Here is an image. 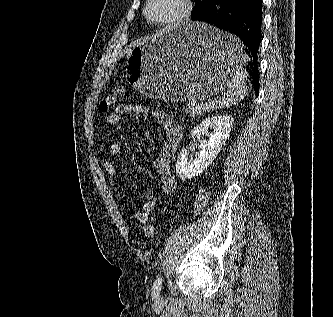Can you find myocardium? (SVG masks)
I'll return each instance as SVG.
<instances>
[{"instance_id":"f54148a6","label":"myocardium","mask_w":333,"mask_h":317,"mask_svg":"<svg viewBox=\"0 0 333 317\" xmlns=\"http://www.w3.org/2000/svg\"><path fill=\"white\" fill-rule=\"evenodd\" d=\"M154 0H146L143 8V14L146 20L154 25L159 26H176L182 23L186 18L189 17L192 11V1L191 0H175L178 5L177 11L170 17L167 18H157L150 14V6Z\"/></svg>"}]
</instances>
